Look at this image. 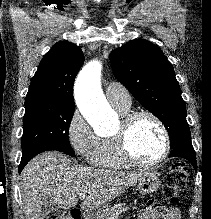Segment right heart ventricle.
Returning <instances> with one entry per match:
<instances>
[{"label":"right heart ventricle","mask_w":211,"mask_h":219,"mask_svg":"<svg viewBox=\"0 0 211 219\" xmlns=\"http://www.w3.org/2000/svg\"><path fill=\"white\" fill-rule=\"evenodd\" d=\"M113 107L123 116L130 112V107ZM89 160L94 166L108 169H121L128 166L118 153L114 136L98 138Z\"/></svg>","instance_id":"obj_1"}]
</instances>
